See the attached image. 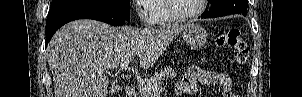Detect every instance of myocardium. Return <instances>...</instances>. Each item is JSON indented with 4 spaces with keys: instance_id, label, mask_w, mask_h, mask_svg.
I'll return each instance as SVG.
<instances>
[{
    "instance_id": "obj_1",
    "label": "myocardium",
    "mask_w": 302,
    "mask_h": 97,
    "mask_svg": "<svg viewBox=\"0 0 302 97\" xmlns=\"http://www.w3.org/2000/svg\"><path fill=\"white\" fill-rule=\"evenodd\" d=\"M206 5H207V0H200V6L197 10L189 14H179L174 9L173 0H166L167 11L175 21H187L195 17H198L205 11Z\"/></svg>"
}]
</instances>
